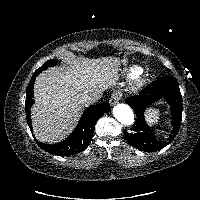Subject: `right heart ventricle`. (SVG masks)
<instances>
[{"instance_id": "1", "label": "right heart ventricle", "mask_w": 200, "mask_h": 200, "mask_svg": "<svg viewBox=\"0 0 200 200\" xmlns=\"http://www.w3.org/2000/svg\"><path fill=\"white\" fill-rule=\"evenodd\" d=\"M142 68L137 65H132L126 68L125 70V75L128 78H134L135 76H138L142 74Z\"/></svg>"}]
</instances>
